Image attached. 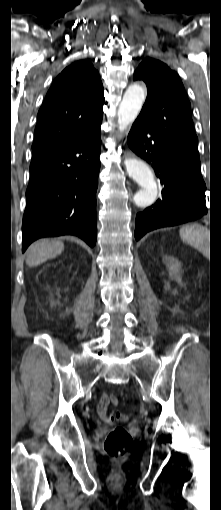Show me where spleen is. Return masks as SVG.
<instances>
[{
  "label": "spleen",
  "instance_id": "obj_1",
  "mask_svg": "<svg viewBox=\"0 0 221 510\" xmlns=\"http://www.w3.org/2000/svg\"><path fill=\"white\" fill-rule=\"evenodd\" d=\"M179 234L184 242L200 251L203 255H209L210 232L206 227L197 224L185 225L180 228Z\"/></svg>",
  "mask_w": 221,
  "mask_h": 510
}]
</instances>
